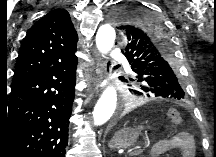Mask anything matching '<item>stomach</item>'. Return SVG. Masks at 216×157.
Here are the masks:
<instances>
[{
  "mask_svg": "<svg viewBox=\"0 0 216 157\" xmlns=\"http://www.w3.org/2000/svg\"><path fill=\"white\" fill-rule=\"evenodd\" d=\"M139 134L140 129H122L113 136L109 146L114 149L128 148L136 142Z\"/></svg>",
  "mask_w": 216,
  "mask_h": 157,
  "instance_id": "0dacf381",
  "label": "stomach"
}]
</instances>
